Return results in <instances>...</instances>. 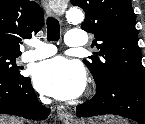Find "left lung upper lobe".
Instances as JSON below:
<instances>
[{"mask_svg": "<svg viewBox=\"0 0 145 124\" xmlns=\"http://www.w3.org/2000/svg\"><path fill=\"white\" fill-rule=\"evenodd\" d=\"M71 3L85 11L81 28L94 34L93 44L99 49L96 55L83 60L95 79L97 91L121 78L144 83L131 1L71 0Z\"/></svg>", "mask_w": 145, "mask_h": 124, "instance_id": "1", "label": "left lung upper lobe"}]
</instances>
